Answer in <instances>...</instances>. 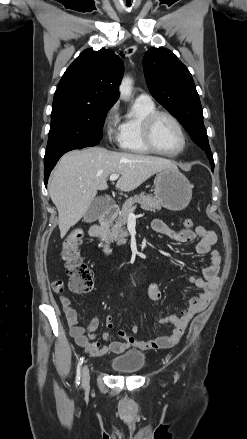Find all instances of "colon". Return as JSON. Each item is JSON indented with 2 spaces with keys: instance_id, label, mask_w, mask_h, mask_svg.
<instances>
[{
  "instance_id": "obj_1",
  "label": "colon",
  "mask_w": 247,
  "mask_h": 439,
  "mask_svg": "<svg viewBox=\"0 0 247 439\" xmlns=\"http://www.w3.org/2000/svg\"><path fill=\"white\" fill-rule=\"evenodd\" d=\"M183 224L186 228L193 226L190 219L184 220ZM83 239L84 234L80 229L73 230L63 241L61 251L66 273L70 277V289L77 293H87L93 288V272L80 255Z\"/></svg>"
}]
</instances>
